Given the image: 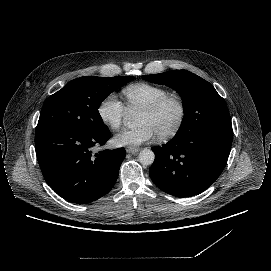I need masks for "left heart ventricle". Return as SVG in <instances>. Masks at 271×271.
<instances>
[{
    "label": "left heart ventricle",
    "instance_id": "b2bd125f",
    "mask_svg": "<svg viewBox=\"0 0 271 271\" xmlns=\"http://www.w3.org/2000/svg\"><path fill=\"white\" fill-rule=\"evenodd\" d=\"M179 114L178 106L175 102L168 103L155 114L140 113L138 125H148L155 135L170 129L176 122Z\"/></svg>",
    "mask_w": 271,
    "mask_h": 271
}]
</instances>
